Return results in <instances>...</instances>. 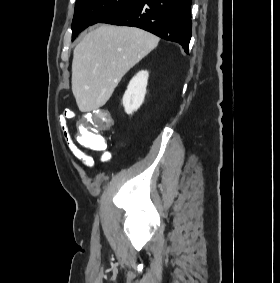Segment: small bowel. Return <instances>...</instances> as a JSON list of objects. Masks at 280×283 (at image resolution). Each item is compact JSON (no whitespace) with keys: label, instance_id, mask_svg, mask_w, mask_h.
Instances as JSON below:
<instances>
[{"label":"small bowel","instance_id":"c3829d8e","mask_svg":"<svg viewBox=\"0 0 280 283\" xmlns=\"http://www.w3.org/2000/svg\"><path fill=\"white\" fill-rule=\"evenodd\" d=\"M73 117L74 113L64 112L59 119V124L63 133L64 141L72 155L79 159L84 167L92 168L94 165V159L91 156L87 155L84 151H82L72 138L69 129V122L73 119ZM99 158L102 163H107L111 159V154L108 151L103 150L100 153Z\"/></svg>","mask_w":280,"mask_h":283}]
</instances>
